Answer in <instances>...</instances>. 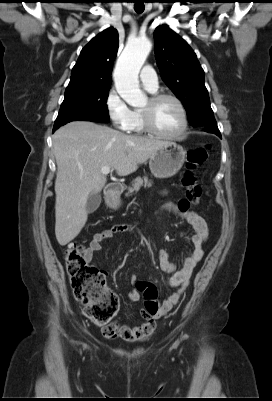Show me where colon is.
Listing matches in <instances>:
<instances>
[{"instance_id":"colon-1","label":"colon","mask_w":272,"mask_h":401,"mask_svg":"<svg viewBox=\"0 0 272 401\" xmlns=\"http://www.w3.org/2000/svg\"><path fill=\"white\" fill-rule=\"evenodd\" d=\"M209 153V145L198 146L187 154L186 171L182 185L186 188V199L196 204L201 197L202 189L198 184L194 170L202 165ZM66 270L70 278L75 299L85 306V315L97 326L103 328V334L111 337L113 330L111 320L119 307L118 297L105 285L104 274L85 259L84 247L70 243L65 250ZM138 289L143 293L145 305L143 314L152 315L158 311L157 289L152 283L141 282Z\"/></svg>"}]
</instances>
